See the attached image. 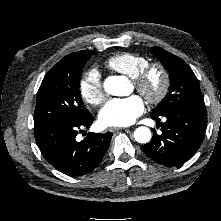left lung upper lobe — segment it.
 Returning a JSON list of instances; mask_svg holds the SVG:
<instances>
[{"label": "left lung upper lobe", "instance_id": "5c2ea615", "mask_svg": "<svg viewBox=\"0 0 221 221\" xmlns=\"http://www.w3.org/2000/svg\"><path fill=\"white\" fill-rule=\"evenodd\" d=\"M151 52L170 75L169 93L151 114L162 116L179 109H205L199 82L192 69L182 59L160 47H152Z\"/></svg>", "mask_w": 221, "mask_h": 221}]
</instances>
